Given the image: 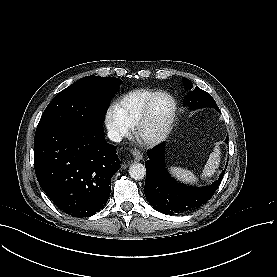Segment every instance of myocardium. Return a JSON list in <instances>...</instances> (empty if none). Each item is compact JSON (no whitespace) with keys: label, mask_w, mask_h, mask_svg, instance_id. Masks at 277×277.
Here are the masks:
<instances>
[{"label":"myocardium","mask_w":277,"mask_h":277,"mask_svg":"<svg viewBox=\"0 0 277 277\" xmlns=\"http://www.w3.org/2000/svg\"><path fill=\"white\" fill-rule=\"evenodd\" d=\"M159 96L165 97L171 103V111H170L169 117L167 119V122L165 123L163 128H161V130H159L155 134L146 135L145 134V126L149 120L152 105H153L154 101L156 100V98ZM176 111H177L176 102L170 94L163 92V91H158V92L153 93L150 96V98L148 99V101L144 107L143 113L140 116V118L136 124L134 134H135V137L137 138V140L144 147L154 146V145H157L160 142H162L171 130L172 124L175 119Z\"/></svg>","instance_id":"f54148a6"}]
</instances>
